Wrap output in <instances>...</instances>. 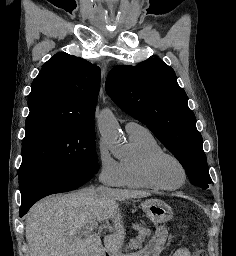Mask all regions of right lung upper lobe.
I'll list each match as a JSON object with an SVG mask.
<instances>
[{"label": "right lung upper lobe", "instance_id": "cb5924a9", "mask_svg": "<svg viewBox=\"0 0 236 256\" xmlns=\"http://www.w3.org/2000/svg\"><path fill=\"white\" fill-rule=\"evenodd\" d=\"M100 68L61 52L42 67L28 96L26 122L53 120L94 124Z\"/></svg>", "mask_w": 236, "mask_h": 256}]
</instances>
